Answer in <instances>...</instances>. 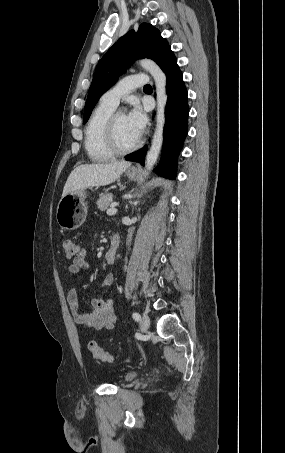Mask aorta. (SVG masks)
Returning <instances> with one entry per match:
<instances>
[{"instance_id":"aorta-1","label":"aorta","mask_w":285,"mask_h":453,"mask_svg":"<svg viewBox=\"0 0 285 453\" xmlns=\"http://www.w3.org/2000/svg\"><path fill=\"white\" fill-rule=\"evenodd\" d=\"M141 67L148 71L155 82L156 86V100H157V110H156V129L152 138L151 147L146 155L145 167L150 171L155 165L163 142V129L165 124V107L167 103V93H166V75L160 69V67L152 60L143 59L139 61ZM145 175V176H146Z\"/></svg>"}]
</instances>
